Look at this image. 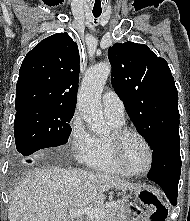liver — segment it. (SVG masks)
Wrapping results in <instances>:
<instances>
[{
	"label": "liver",
	"instance_id": "6515ba94",
	"mask_svg": "<svg viewBox=\"0 0 190 221\" xmlns=\"http://www.w3.org/2000/svg\"><path fill=\"white\" fill-rule=\"evenodd\" d=\"M118 177L78 169L52 166L26 172L9 199V221H70V209L103 205L110 189L136 190Z\"/></svg>",
	"mask_w": 190,
	"mask_h": 221
}]
</instances>
